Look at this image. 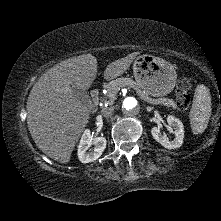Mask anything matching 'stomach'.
Instances as JSON below:
<instances>
[{
	"mask_svg": "<svg viewBox=\"0 0 221 221\" xmlns=\"http://www.w3.org/2000/svg\"><path fill=\"white\" fill-rule=\"evenodd\" d=\"M136 83L149 95L161 97L175 87L177 74L174 66L154 55H140L133 63Z\"/></svg>",
	"mask_w": 221,
	"mask_h": 221,
	"instance_id": "stomach-1",
	"label": "stomach"
}]
</instances>
